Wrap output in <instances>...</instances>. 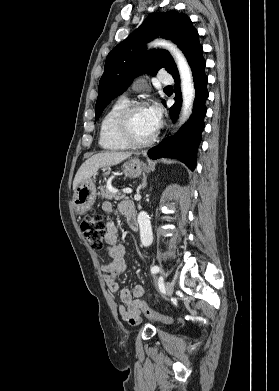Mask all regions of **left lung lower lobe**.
<instances>
[{
	"mask_svg": "<svg viewBox=\"0 0 279 391\" xmlns=\"http://www.w3.org/2000/svg\"><path fill=\"white\" fill-rule=\"evenodd\" d=\"M189 65L194 77L196 91L193 114L174 136L168 137L158 146L151 148L148 151V156L151 159L160 157L176 158L185 163L189 169L194 170L196 167V154L202 138L201 133L205 126L204 117L207 111L205 102L208 98V78L204 71L206 61L203 58L202 47L196 51ZM174 80L176 93L174 97L175 104L169 109L170 116L173 120L178 117L182 105L179 75L174 77Z\"/></svg>",
	"mask_w": 279,
	"mask_h": 391,
	"instance_id": "left-lung-lower-lobe-1",
	"label": "left lung lower lobe"
}]
</instances>
